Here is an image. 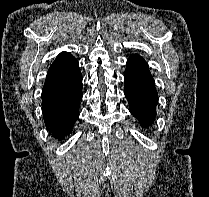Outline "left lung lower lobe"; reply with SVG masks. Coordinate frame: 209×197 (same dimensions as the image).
Segmentation results:
<instances>
[{
  "mask_svg": "<svg viewBox=\"0 0 209 197\" xmlns=\"http://www.w3.org/2000/svg\"><path fill=\"white\" fill-rule=\"evenodd\" d=\"M124 81V94L129 102V111L142 127L152 125L158 95L148 64L138 54L131 55L127 60Z\"/></svg>",
  "mask_w": 209,
  "mask_h": 197,
  "instance_id": "obj_1",
  "label": "left lung lower lobe"
}]
</instances>
